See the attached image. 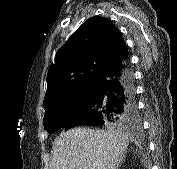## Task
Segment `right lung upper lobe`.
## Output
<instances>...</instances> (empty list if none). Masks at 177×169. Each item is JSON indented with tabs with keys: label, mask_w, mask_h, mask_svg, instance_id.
Masks as SVG:
<instances>
[{
	"label": "right lung upper lobe",
	"mask_w": 177,
	"mask_h": 169,
	"mask_svg": "<svg viewBox=\"0 0 177 169\" xmlns=\"http://www.w3.org/2000/svg\"><path fill=\"white\" fill-rule=\"evenodd\" d=\"M127 54L121 32L109 19L89 18L58 50L47 74L44 107L63 101Z\"/></svg>",
	"instance_id": "obj_1"
}]
</instances>
